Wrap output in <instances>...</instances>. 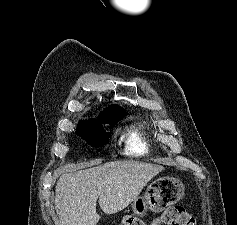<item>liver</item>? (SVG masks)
Here are the masks:
<instances>
[{"instance_id":"liver-1","label":"liver","mask_w":237,"mask_h":225,"mask_svg":"<svg viewBox=\"0 0 237 225\" xmlns=\"http://www.w3.org/2000/svg\"><path fill=\"white\" fill-rule=\"evenodd\" d=\"M163 170L155 164L117 161L63 174L55 197L60 225H96L100 219L97 200L105 214L122 211Z\"/></svg>"}]
</instances>
